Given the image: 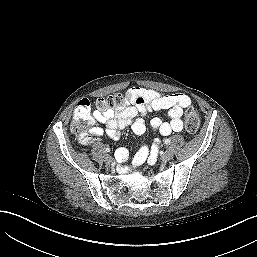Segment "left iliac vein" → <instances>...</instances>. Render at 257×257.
Masks as SVG:
<instances>
[{
  "mask_svg": "<svg viewBox=\"0 0 257 257\" xmlns=\"http://www.w3.org/2000/svg\"><path fill=\"white\" fill-rule=\"evenodd\" d=\"M173 158V152L170 149H167L161 154V159L163 161H169Z\"/></svg>",
  "mask_w": 257,
  "mask_h": 257,
  "instance_id": "4c4485c4",
  "label": "left iliac vein"
}]
</instances>
